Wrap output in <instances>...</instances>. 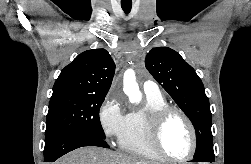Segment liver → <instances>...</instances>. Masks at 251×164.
<instances>
[{"label":"liver","mask_w":251,"mask_h":164,"mask_svg":"<svg viewBox=\"0 0 251 164\" xmlns=\"http://www.w3.org/2000/svg\"><path fill=\"white\" fill-rule=\"evenodd\" d=\"M54 164H157L137 157L99 147L76 149Z\"/></svg>","instance_id":"liver-1"}]
</instances>
